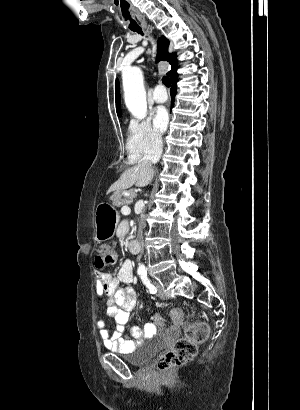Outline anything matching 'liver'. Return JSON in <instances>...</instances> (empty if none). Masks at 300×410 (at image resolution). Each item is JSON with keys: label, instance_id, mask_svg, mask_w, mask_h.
<instances>
[{"label": "liver", "instance_id": "6515ba94", "mask_svg": "<svg viewBox=\"0 0 300 410\" xmlns=\"http://www.w3.org/2000/svg\"><path fill=\"white\" fill-rule=\"evenodd\" d=\"M152 167H142L139 164L126 169L120 178L109 188L108 193L112 191L125 190L133 185L137 187L147 186L153 178Z\"/></svg>", "mask_w": 300, "mask_h": 410}]
</instances>
